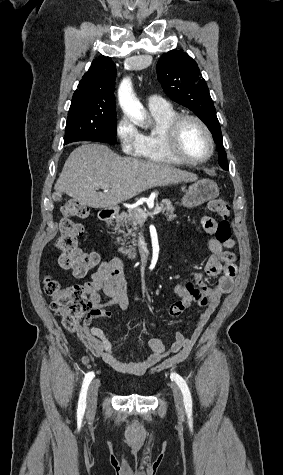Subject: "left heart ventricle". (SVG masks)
Here are the masks:
<instances>
[{
    "label": "left heart ventricle",
    "mask_w": 283,
    "mask_h": 475,
    "mask_svg": "<svg viewBox=\"0 0 283 475\" xmlns=\"http://www.w3.org/2000/svg\"><path fill=\"white\" fill-rule=\"evenodd\" d=\"M208 150L209 143L203 129L192 120H187L182 124L176 144H166L167 153L174 158H199Z\"/></svg>",
    "instance_id": "b2bd125f"
}]
</instances>
